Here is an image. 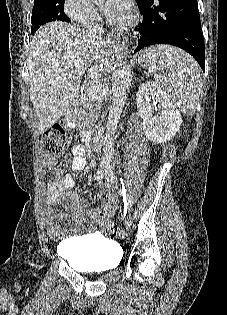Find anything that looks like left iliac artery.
<instances>
[{
    "label": "left iliac artery",
    "instance_id": "left-iliac-artery-1",
    "mask_svg": "<svg viewBox=\"0 0 227 315\" xmlns=\"http://www.w3.org/2000/svg\"><path fill=\"white\" fill-rule=\"evenodd\" d=\"M105 178L108 182L117 183V179L111 169L106 170ZM121 185H122L123 199L125 203V212H127V210H130L131 207L133 206L134 201H133V197L130 194L126 193L125 180L121 179Z\"/></svg>",
    "mask_w": 227,
    "mask_h": 315
}]
</instances>
